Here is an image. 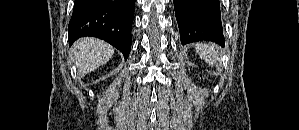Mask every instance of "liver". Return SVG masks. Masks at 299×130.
<instances>
[{
	"label": "liver",
	"instance_id": "6515ba94",
	"mask_svg": "<svg viewBox=\"0 0 299 130\" xmlns=\"http://www.w3.org/2000/svg\"><path fill=\"white\" fill-rule=\"evenodd\" d=\"M71 54L78 72L84 75L108 62L114 54V48L97 38H81L73 45Z\"/></svg>",
	"mask_w": 299,
	"mask_h": 130
}]
</instances>
